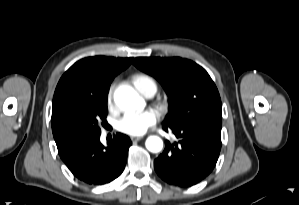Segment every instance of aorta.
Returning a JSON list of instances; mask_svg holds the SVG:
<instances>
[{
	"instance_id": "aorta-1",
	"label": "aorta",
	"mask_w": 299,
	"mask_h": 205,
	"mask_svg": "<svg viewBox=\"0 0 299 205\" xmlns=\"http://www.w3.org/2000/svg\"><path fill=\"white\" fill-rule=\"evenodd\" d=\"M114 101L116 105L127 111L142 109L145 105L144 100L130 86H121L114 92ZM146 148L152 152H160L163 148V141L158 136H150L145 142Z\"/></svg>"
}]
</instances>
